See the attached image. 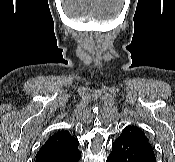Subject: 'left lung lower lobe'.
<instances>
[{
	"label": "left lung lower lobe",
	"instance_id": "left-lung-lower-lobe-1",
	"mask_svg": "<svg viewBox=\"0 0 175 162\" xmlns=\"http://www.w3.org/2000/svg\"><path fill=\"white\" fill-rule=\"evenodd\" d=\"M106 162H156V158L148 140L124 133L112 144Z\"/></svg>",
	"mask_w": 175,
	"mask_h": 162
}]
</instances>
